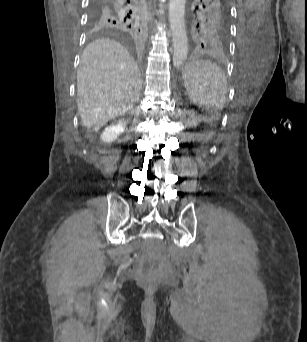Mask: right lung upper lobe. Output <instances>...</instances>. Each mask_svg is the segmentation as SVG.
Here are the masks:
<instances>
[{"label": "right lung upper lobe", "instance_id": "obj_1", "mask_svg": "<svg viewBox=\"0 0 307 342\" xmlns=\"http://www.w3.org/2000/svg\"><path fill=\"white\" fill-rule=\"evenodd\" d=\"M91 31L102 36L142 41L147 33V13L143 0H92Z\"/></svg>", "mask_w": 307, "mask_h": 342}]
</instances>
